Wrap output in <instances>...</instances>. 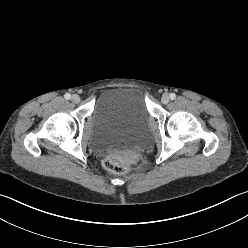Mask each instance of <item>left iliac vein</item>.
Instances as JSON below:
<instances>
[{
  "label": "left iliac vein",
  "mask_w": 248,
  "mask_h": 248,
  "mask_svg": "<svg viewBox=\"0 0 248 248\" xmlns=\"http://www.w3.org/2000/svg\"><path fill=\"white\" fill-rule=\"evenodd\" d=\"M161 101L163 104H167L169 102V95L167 93L163 94Z\"/></svg>",
  "instance_id": "obj_1"
}]
</instances>
